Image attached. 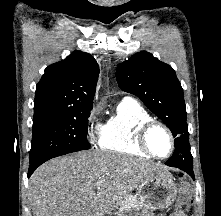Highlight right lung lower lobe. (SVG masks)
<instances>
[{
  "label": "right lung lower lobe",
  "instance_id": "1",
  "mask_svg": "<svg viewBox=\"0 0 221 216\" xmlns=\"http://www.w3.org/2000/svg\"><path fill=\"white\" fill-rule=\"evenodd\" d=\"M38 166H39V165L29 166L28 177H30V175L35 171V169H36Z\"/></svg>",
  "mask_w": 221,
  "mask_h": 216
}]
</instances>
